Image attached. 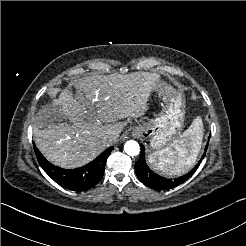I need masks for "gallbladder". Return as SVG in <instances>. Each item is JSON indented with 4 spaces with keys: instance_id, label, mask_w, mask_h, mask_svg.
Wrapping results in <instances>:
<instances>
[{
    "instance_id": "bac80fb5",
    "label": "gallbladder",
    "mask_w": 246,
    "mask_h": 246,
    "mask_svg": "<svg viewBox=\"0 0 246 246\" xmlns=\"http://www.w3.org/2000/svg\"><path fill=\"white\" fill-rule=\"evenodd\" d=\"M59 107H53L52 105H45L40 111H43V115L48 120L55 119L56 121H64L65 116L58 111Z\"/></svg>"
}]
</instances>
